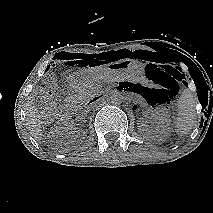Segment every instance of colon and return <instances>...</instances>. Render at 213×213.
<instances>
[{
  "label": "colon",
  "mask_w": 213,
  "mask_h": 213,
  "mask_svg": "<svg viewBox=\"0 0 213 213\" xmlns=\"http://www.w3.org/2000/svg\"><path fill=\"white\" fill-rule=\"evenodd\" d=\"M43 100H44L45 104L50 105L51 102H52V94L51 93H46L44 95Z\"/></svg>",
  "instance_id": "1"
}]
</instances>
